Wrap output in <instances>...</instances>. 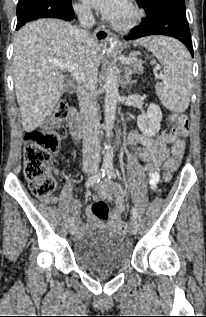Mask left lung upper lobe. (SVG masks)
<instances>
[{"label": "left lung upper lobe", "mask_w": 206, "mask_h": 317, "mask_svg": "<svg viewBox=\"0 0 206 317\" xmlns=\"http://www.w3.org/2000/svg\"><path fill=\"white\" fill-rule=\"evenodd\" d=\"M139 7H143L146 16H152L159 13H176L185 16L184 0H136Z\"/></svg>", "instance_id": "1"}]
</instances>
